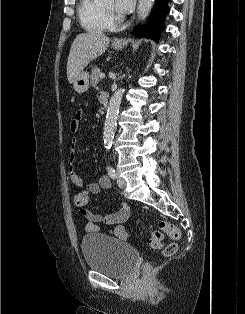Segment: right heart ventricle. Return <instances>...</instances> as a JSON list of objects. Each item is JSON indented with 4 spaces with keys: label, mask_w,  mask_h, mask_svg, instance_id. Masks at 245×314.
I'll return each mask as SVG.
<instances>
[{
    "label": "right heart ventricle",
    "mask_w": 245,
    "mask_h": 314,
    "mask_svg": "<svg viewBox=\"0 0 245 314\" xmlns=\"http://www.w3.org/2000/svg\"><path fill=\"white\" fill-rule=\"evenodd\" d=\"M77 12L81 25L88 32L102 33L111 28L97 0H80Z\"/></svg>",
    "instance_id": "1"
}]
</instances>
